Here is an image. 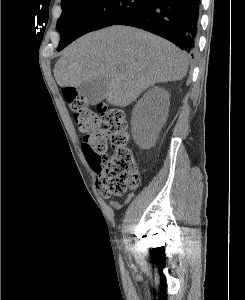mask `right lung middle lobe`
Returning <instances> with one entry per match:
<instances>
[{
  "label": "right lung middle lobe",
  "mask_w": 245,
  "mask_h": 300,
  "mask_svg": "<svg viewBox=\"0 0 245 300\" xmlns=\"http://www.w3.org/2000/svg\"><path fill=\"white\" fill-rule=\"evenodd\" d=\"M150 0H62L57 23L61 51L78 37L116 24Z\"/></svg>",
  "instance_id": "1"
}]
</instances>
